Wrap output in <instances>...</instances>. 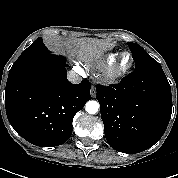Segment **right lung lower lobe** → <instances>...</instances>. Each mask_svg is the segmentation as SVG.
Here are the masks:
<instances>
[{
    "mask_svg": "<svg viewBox=\"0 0 178 178\" xmlns=\"http://www.w3.org/2000/svg\"><path fill=\"white\" fill-rule=\"evenodd\" d=\"M66 59L50 53L21 55L9 71L5 106L13 129L28 142L53 147L72 134V120L91 99V84L67 80Z\"/></svg>",
    "mask_w": 178,
    "mask_h": 178,
    "instance_id": "98d812e1",
    "label": "right lung lower lobe"
}]
</instances>
